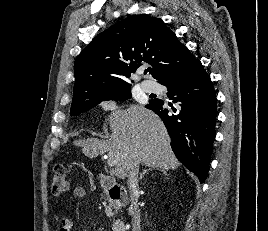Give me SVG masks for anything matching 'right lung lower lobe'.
I'll list each match as a JSON object with an SVG mask.
<instances>
[{"mask_svg": "<svg viewBox=\"0 0 268 231\" xmlns=\"http://www.w3.org/2000/svg\"><path fill=\"white\" fill-rule=\"evenodd\" d=\"M159 83L168 88L167 95L175 104L154 99L146 107L161 117L175 155L203 183L209 170L217 116L210 76L198 60Z\"/></svg>", "mask_w": 268, "mask_h": 231, "instance_id": "98d812e1", "label": "right lung lower lobe"}]
</instances>
